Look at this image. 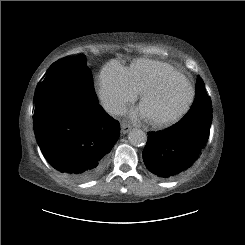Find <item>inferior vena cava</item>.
<instances>
[{"label": "inferior vena cava", "instance_id": "obj_1", "mask_svg": "<svg viewBox=\"0 0 245 245\" xmlns=\"http://www.w3.org/2000/svg\"><path fill=\"white\" fill-rule=\"evenodd\" d=\"M102 105L105 111L112 115H123L126 112V106L121 101L106 100Z\"/></svg>", "mask_w": 245, "mask_h": 245}]
</instances>
